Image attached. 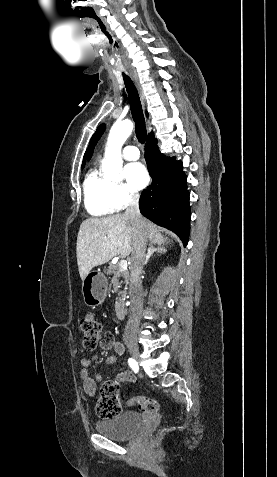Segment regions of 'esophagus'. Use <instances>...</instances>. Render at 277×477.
I'll list each match as a JSON object with an SVG mask.
<instances>
[{
    "label": "esophagus",
    "instance_id": "obj_1",
    "mask_svg": "<svg viewBox=\"0 0 277 477\" xmlns=\"http://www.w3.org/2000/svg\"><path fill=\"white\" fill-rule=\"evenodd\" d=\"M131 75H132V78L134 80V83H135V86L137 88V91L139 93V97H140V100H141V104L143 106V109H145V106H146V99H145V95H144V92H143V88H142V85L140 83V80H139V77L137 75V73L135 71H132L131 72Z\"/></svg>",
    "mask_w": 277,
    "mask_h": 477
}]
</instances>
